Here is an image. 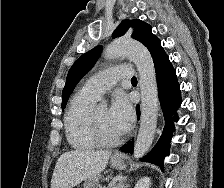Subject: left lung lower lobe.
I'll return each instance as SVG.
<instances>
[{"label":"left lung lower lobe","mask_w":224,"mask_h":188,"mask_svg":"<svg viewBox=\"0 0 224 188\" xmlns=\"http://www.w3.org/2000/svg\"><path fill=\"white\" fill-rule=\"evenodd\" d=\"M155 66L156 79L158 86L159 100L166 120L163 133L153 150L142 160L155 163L163 168V161L168 155L174 126L171 121L172 114L181 105L180 85L177 81L175 69L173 68L168 56H165ZM138 117L140 115L139 105L137 106ZM177 115H174V121H177ZM133 142H128L121 148V151L133 153Z\"/></svg>","instance_id":"obj_1"}]
</instances>
